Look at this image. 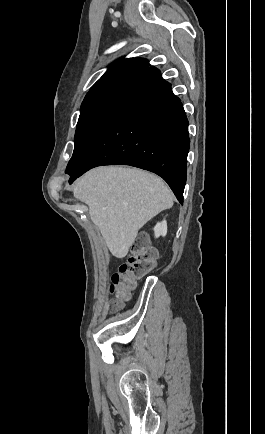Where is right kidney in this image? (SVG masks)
<instances>
[{
  "label": "right kidney",
  "instance_id": "obj_1",
  "mask_svg": "<svg viewBox=\"0 0 265 434\" xmlns=\"http://www.w3.org/2000/svg\"><path fill=\"white\" fill-rule=\"evenodd\" d=\"M167 234V222L163 220V222H158L154 228V236L155 238H159V236H166Z\"/></svg>",
  "mask_w": 265,
  "mask_h": 434
}]
</instances>
